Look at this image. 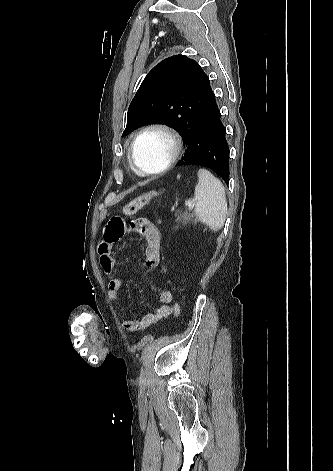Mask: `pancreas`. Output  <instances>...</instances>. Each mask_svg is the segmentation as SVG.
Masks as SVG:
<instances>
[{"label":"pancreas","instance_id":"cf45deb5","mask_svg":"<svg viewBox=\"0 0 333 471\" xmlns=\"http://www.w3.org/2000/svg\"><path fill=\"white\" fill-rule=\"evenodd\" d=\"M176 223L179 224V223H182L183 225H187V224H190V223H193L195 222L196 220L194 219V214L190 212V210L182 213V212H178L176 215Z\"/></svg>","mask_w":333,"mask_h":471}]
</instances>
